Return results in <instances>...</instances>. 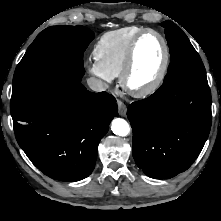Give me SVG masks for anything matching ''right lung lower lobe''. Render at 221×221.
I'll return each instance as SVG.
<instances>
[{"instance_id":"obj_1","label":"right lung lower lobe","mask_w":221,"mask_h":221,"mask_svg":"<svg viewBox=\"0 0 221 221\" xmlns=\"http://www.w3.org/2000/svg\"><path fill=\"white\" fill-rule=\"evenodd\" d=\"M82 76L64 74L61 86L11 113L19 146L56 180L79 181L91 174L98 144L118 115L116 99L87 91Z\"/></svg>"}]
</instances>
